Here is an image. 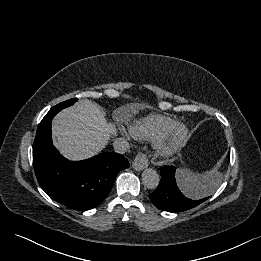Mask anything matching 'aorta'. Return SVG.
<instances>
[{
	"instance_id": "1",
	"label": "aorta",
	"mask_w": 261,
	"mask_h": 261,
	"mask_svg": "<svg viewBox=\"0 0 261 261\" xmlns=\"http://www.w3.org/2000/svg\"><path fill=\"white\" fill-rule=\"evenodd\" d=\"M160 177L156 170L152 168L145 169L142 173V183L148 189H155L158 187Z\"/></svg>"
}]
</instances>
